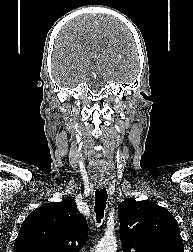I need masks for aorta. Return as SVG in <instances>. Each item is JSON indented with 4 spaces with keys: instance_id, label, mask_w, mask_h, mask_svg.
<instances>
[{
    "instance_id": "1",
    "label": "aorta",
    "mask_w": 193,
    "mask_h": 252,
    "mask_svg": "<svg viewBox=\"0 0 193 252\" xmlns=\"http://www.w3.org/2000/svg\"><path fill=\"white\" fill-rule=\"evenodd\" d=\"M117 244L114 238H104L96 246L95 252H116Z\"/></svg>"
}]
</instances>
